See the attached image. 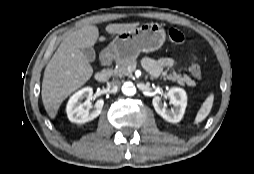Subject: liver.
<instances>
[{
  "instance_id": "6515ba94",
  "label": "liver",
  "mask_w": 254,
  "mask_h": 174,
  "mask_svg": "<svg viewBox=\"0 0 254 174\" xmlns=\"http://www.w3.org/2000/svg\"><path fill=\"white\" fill-rule=\"evenodd\" d=\"M139 23L109 24V34H121L137 28ZM99 38L96 26L87 25L73 31L61 42L48 62L42 81V102L50 118H55L62 102L84 85L92 76L93 68L82 53V48L92 47Z\"/></svg>"
}]
</instances>
